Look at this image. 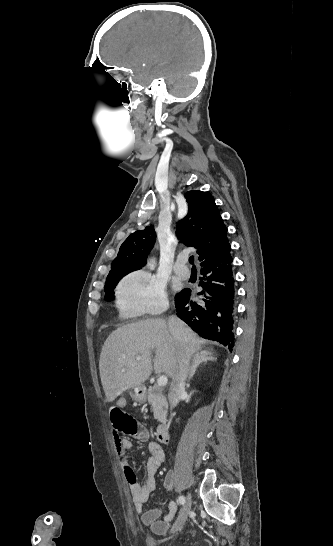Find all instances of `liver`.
Segmentation results:
<instances>
[{"label": "liver", "mask_w": 333, "mask_h": 546, "mask_svg": "<svg viewBox=\"0 0 333 546\" xmlns=\"http://www.w3.org/2000/svg\"><path fill=\"white\" fill-rule=\"evenodd\" d=\"M190 356L201 350V340L184 327ZM180 344L172 336L165 320H141L113 331L106 339L99 360L105 396L112 402L124 391L143 384L154 370L173 378L179 359ZM154 354V358H153ZM142 357L136 360V357ZM124 370V371H122Z\"/></svg>", "instance_id": "1"}]
</instances>
